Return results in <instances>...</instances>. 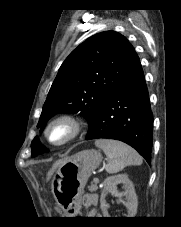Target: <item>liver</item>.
<instances>
[{
	"label": "liver",
	"instance_id": "6515ba94",
	"mask_svg": "<svg viewBox=\"0 0 181 227\" xmlns=\"http://www.w3.org/2000/svg\"><path fill=\"white\" fill-rule=\"evenodd\" d=\"M67 159H68V158L60 159V160L56 161V162L53 164L52 168H51V169L48 171V173H47V176H46V180H47V181L50 180V178L52 177V175H53V173L56 171V169H57L58 167H60L64 162H66Z\"/></svg>",
	"mask_w": 181,
	"mask_h": 227
}]
</instances>
